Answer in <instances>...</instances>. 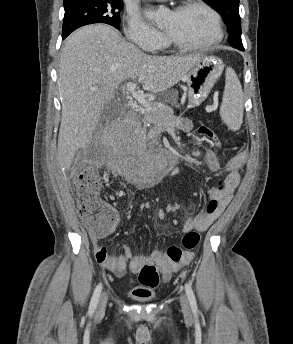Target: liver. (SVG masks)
Wrapping results in <instances>:
<instances>
[{
	"mask_svg": "<svg viewBox=\"0 0 293 344\" xmlns=\"http://www.w3.org/2000/svg\"><path fill=\"white\" fill-rule=\"evenodd\" d=\"M200 59L199 55H148L107 25L77 30L67 40L59 65L60 166L69 168L76 151L90 143L104 107L121 83L137 79L145 91L164 92Z\"/></svg>",
	"mask_w": 293,
	"mask_h": 344,
	"instance_id": "obj_1",
	"label": "liver"
}]
</instances>
